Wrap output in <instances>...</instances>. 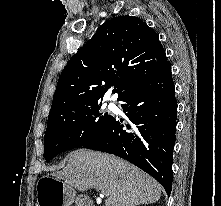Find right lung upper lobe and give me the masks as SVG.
Segmentation results:
<instances>
[{
  "mask_svg": "<svg viewBox=\"0 0 221 206\" xmlns=\"http://www.w3.org/2000/svg\"><path fill=\"white\" fill-rule=\"evenodd\" d=\"M167 62L157 33L145 22L131 16L109 20L63 69L49 115L99 103L114 84L120 100Z\"/></svg>",
  "mask_w": 221,
  "mask_h": 206,
  "instance_id": "cb5924a9",
  "label": "right lung upper lobe"
}]
</instances>
